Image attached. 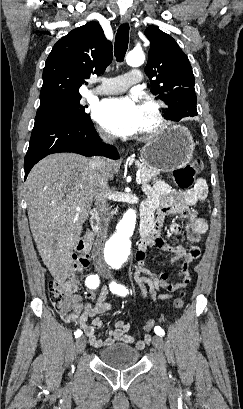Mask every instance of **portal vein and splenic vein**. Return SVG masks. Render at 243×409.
<instances>
[{"label": "portal vein and splenic vein", "mask_w": 243, "mask_h": 409, "mask_svg": "<svg viewBox=\"0 0 243 409\" xmlns=\"http://www.w3.org/2000/svg\"><path fill=\"white\" fill-rule=\"evenodd\" d=\"M136 182H137L138 185H140L142 183L139 173H137V175H136Z\"/></svg>", "instance_id": "1"}]
</instances>
